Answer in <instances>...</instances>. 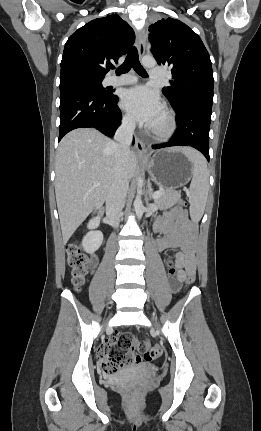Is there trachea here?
<instances>
[{"label":"trachea","instance_id":"3493384b","mask_svg":"<svg viewBox=\"0 0 261 431\" xmlns=\"http://www.w3.org/2000/svg\"><path fill=\"white\" fill-rule=\"evenodd\" d=\"M132 67L139 75L143 77L148 76L146 70L139 62L138 51L136 47L131 48L124 63L116 70V74L120 75L121 73H127Z\"/></svg>","mask_w":261,"mask_h":431}]
</instances>
